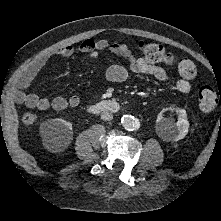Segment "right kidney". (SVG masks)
<instances>
[{"mask_svg": "<svg viewBox=\"0 0 221 221\" xmlns=\"http://www.w3.org/2000/svg\"><path fill=\"white\" fill-rule=\"evenodd\" d=\"M40 132L44 143L52 150L64 149L73 136L72 124L60 118L44 121Z\"/></svg>", "mask_w": 221, "mask_h": 221, "instance_id": "obj_1", "label": "right kidney"}]
</instances>
